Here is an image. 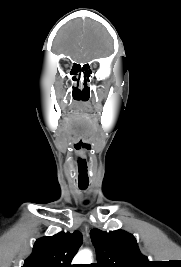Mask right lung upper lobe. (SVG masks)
<instances>
[{
  "instance_id": "1",
  "label": "right lung upper lobe",
  "mask_w": 181,
  "mask_h": 267,
  "mask_svg": "<svg viewBox=\"0 0 181 267\" xmlns=\"http://www.w3.org/2000/svg\"><path fill=\"white\" fill-rule=\"evenodd\" d=\"M82 244L79 231L60 232L38 239L23 267H72L71 261Z\"/></svg>"
}]
</instances>
